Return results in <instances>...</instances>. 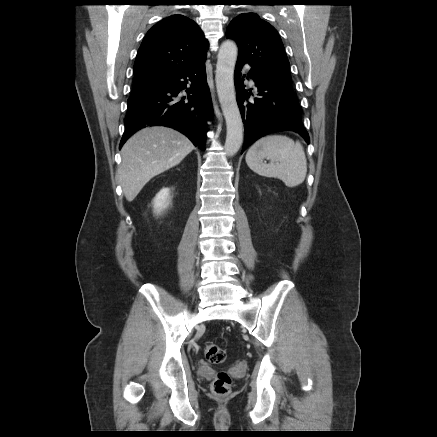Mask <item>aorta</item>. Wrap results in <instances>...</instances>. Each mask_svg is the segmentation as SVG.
Here are the masks:
<instances>
[{
	"label": "aorta",
	"instance_id": "762f6f07",
	"mask_svg": "<svg viewBox=\"0 0 437 437\" xmlns=\"http://www.w3.org/2000/svg\"><path fill=\"white\" fill-rule=\"evenodd\" d=\"M238 49L233 41L227 40L220 46L216 65V88L221 109L226 120L225 152L235 155L243 143V122L236 101L234 69Z\"/></svg>",
	"mask_w": 437,
	"mask_h": 437
}]
</instances>
